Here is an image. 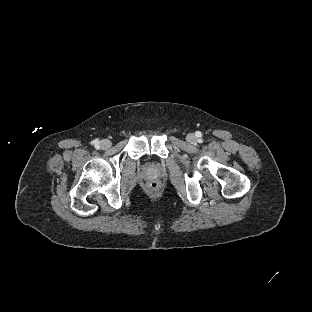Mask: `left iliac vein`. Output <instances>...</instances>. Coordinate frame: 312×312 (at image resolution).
<instances>
[{"instance_id": "left-iliac-vein-1", "label": "left iliac vein", "mask_w": 312, "mask_h": 312, "mask_svg": "<svg viewBox=\"0 0 312 312\" xmlns=\"http://www.w3.org/2000/svg\"><path fill=\"white\" fill-rule=\"evenodd\" d=\"M195 139H196V137H195V135L193 133L188 134L187 137H186V140L188 142H193V141H195Z\"/></svg>"}]
</instances>
